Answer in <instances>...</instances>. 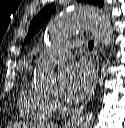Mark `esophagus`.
Wrapping results in <instances>:
<instances>
[{
	"mask_svg": "<svg viewBox=\"0 0 125 128\" xmlns=\"http://www.w3.org/2000/svg\"><path fill=\"white\" fill-rule=\"evenodd\" d=\"M93 56V64H94V82L90 89L89 95L87 99L84 101V103L74 112L72 117L68 120V122L65 124L66 127H70L72 124H74L77 119L80 117L81 113L87 106L88 102L92 99V96L94 94V90L96 89L98 76H99V58H98V40L94 38V49L92 52Z\"/></svg>",
	"mask_w": 125,
	"mask_h": 128,
	"instance_id": "34e87169",
	"label": "esophagus"
}]
</instances>
